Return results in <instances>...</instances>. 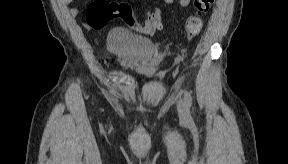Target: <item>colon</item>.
I'll use <instances>...</instances> for the list:
<instances>
[{
    "label": "colon",
    "instance_id": "obj_1",
    "mask_svg": "<svg viewBox=\"0 0 288 164\" xmlns=\"http://www.w3.org/2000/svg\"><path fill=\"white\" fill-rule=\"evenodd\" d=\"M211 4V0H196L194 2L193 12L187 18L183 31L186 38H195L200 33L203 27L202 15L208 12ZM115 17L124 19L130 29L148 35L154 34L163 26L162 15L158 10L151 13L144 24H140L125 3L109 0L92 1L87 9L86 21L91 27L99 29L106 26Z\"/></svg>",
    "mask_w": 288,
    "mask_h": 164
}]
</instances>
